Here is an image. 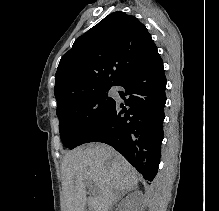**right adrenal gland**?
Instances as JSON below:
<instances>
[{
	"mask_svg": "<svg viewBox=\"0 0 219 211\" xmlns=\"http://www.w3.org/2000/svg\"><path fill=\"white\" fill-rule=\"evenodd\" d=\"M134 189H136V187H133V189H128V191H121L120 195H125V193H128V195H131V193H133Z\"/></svg>",
	"mask_w": 219,
	"mask_h": 211,
	"instance_id": "1",
	"label": "right adrenal gland"
}]
</instances>
